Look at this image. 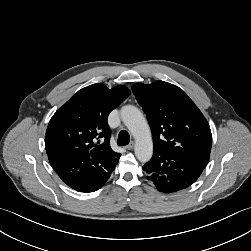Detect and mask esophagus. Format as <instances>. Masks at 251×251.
Listing matches in <instances>:
<instances>
[{"label":"esophagus","instance_id":"obj_1","mask_svg":"<svg viewBox=\"0 0 251 251\" xmlns=\"http://www.w3.org/2000/svg\"><path fill=\"white\" fill-rule=\"evenodd\" d=\"M134 148V143L131 142L130 144H128L127 146H125L126 150H132Z\"/></svg>","mask_w":251,"mask_h":251}]
</instances>
